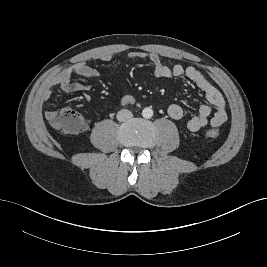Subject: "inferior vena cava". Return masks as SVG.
I'll return each instance as SVG.
<instances>
[{
	"label": "inferior vena cava",
	"instance_id": "1",
	"mask_svg": "<svg viewBox=\"0 0 267 267\" xmlns=\"http://www.w3.org/2000/svg\"><path fill=\"white\" fill-rule=\"evenodd\" d=\"M132 117H133L132 112L127 109H122L117 113V120L120 122L127 121Z\"/></svg>",
	"mask_w": 267,
	"mask_h": 267
}]
</instances>
